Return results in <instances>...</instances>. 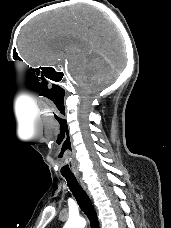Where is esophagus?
Wrapping results in <instances>:
<instances>
[{"label":"esophagus","instance_id":"34e87169","mask_svg":"<svg viewBox=\"0 0 171 228\" xmlns=\"http://www.w3.org/2000/svg\"><path fill=\"white\" fill-rule=\"evenodd\" d=\"M79 179V183L80 185L82 186V188L85 190V192L90 196V192L86 186V184L81 180V178H78Z\"/></svg>","mask_w":171,"mask_h":228}]
</instances>
